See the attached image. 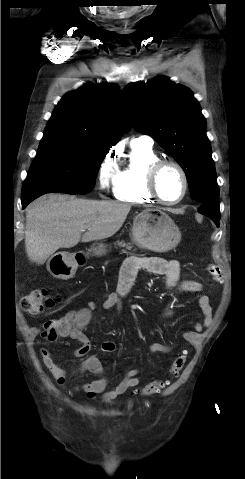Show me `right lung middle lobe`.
<instances>
[{
    "label": "right lung middle lobe",
    "instance_id": "right-lung-middle-lobe-1",
    "mask_svg": "<svg viewBox=\"0 0 245 479\" xmlns=\"http://www.w3.org/2000/svg\"><path fill=\"white\" fill-rule=\"evenodd\" d=\"M109 150L63 134L44 133L24 181L22 196L36 192L92 191L99 166Z\"/></svg>",
    "mask_w": 245,
    "mask_h": 479
}]
</instances>
